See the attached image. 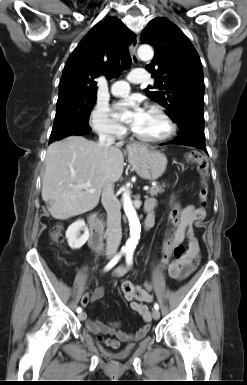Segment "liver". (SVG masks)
<instances>
[{"label":"liver","mask_w":247,"mask_h":385,"mask_svg":"<svg viewBox=\"0 0 247 385\" xmlns=\"http://www.w3.org/2000/svg\"><path fill=\"white\" fill-rule=\"evenodd\" d=\"M42 199L55 219L66 220L94 209L108 182H117L123 173L121 150L71 135L53 142L45 159ZM90 183L93 193L77 185Z\"/></svg>","instance_id":"1"}]
</instances>
